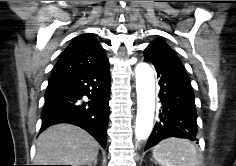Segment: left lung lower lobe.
Wrapping results in <instances>:
<instances>
[{
  "label": "left lung lower lobe",
  "mask_w": 236,
  "mask_h": 166,
  "mask_svg": "<svg viewBox=\"0 0 236 166\" xmlns=\"http://www.w3.org/2000/svg\"><path fill=\"white\" fill-rule=\"evenodd\" d=\"M153 65L160 79L161 109L145 150L167 137L196 141L198 126L195 97L183 64L180 60H167Z\"/></svg>",
  "instance_id": "left-lung-lower-lobe-1"
}]
</instances>
